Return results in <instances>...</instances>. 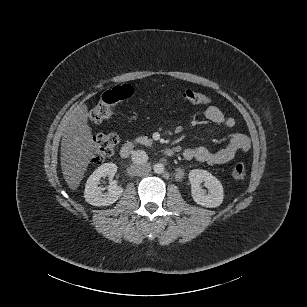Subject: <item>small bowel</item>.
<instances>
[{"label": "small bowel", "instance_id": "1", "mask_svg": "<svg viewBox=\"0 0 307 307\" xmlns=\"http://www.w3.org/2000/svg\"><path fill=\"white\" fill-rule=\"evenodd\" d=\"M204 115L210 122L228 129H234L236 126L234 118L226 116L214 105L207 106ZM249 149V138L242 133L234 132L231 134L228 144L217 151H211L204 146H197L185 149L183 156L185 159L196 160L208 165H220L233 160L238 152H247Z\"/></svg>", "mask_w": 307, "mask_h": 307}]
</instances>
